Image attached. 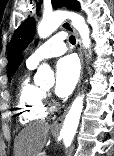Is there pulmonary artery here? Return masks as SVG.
<instances>
[{
  "label": "pulmonary artery",
  "instance_id": "e3ab8cb5",
  "mask_svg": "<svg viewBox=\"0 0 114 156\" xmlns=\"http://www.w3.org/2000/svg\"><path fill=\"white\" fill-rule=\"evenodd\" d=\"M65 34L58 33L39 46L27 59V64L36 67L40 62L63 55L66 52Z\"/></svg>",
  "mask_w": 114,
  "mask_h": 156
}]
</instances>
